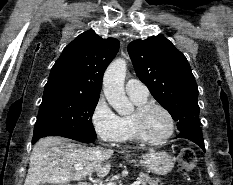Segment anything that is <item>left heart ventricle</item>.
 <instances>
[{"instance_id":"1","label":"left heart ventricle","mask_w":233,"mask_h":185,"mask_svg":"<svg viewBox=\"0 0 233 185\" xmlns=\"http://www.w3.org/2000/svg\"><path fill=\"white\" fill-rule=\"evenodd\" d=\"M142 127L148 138L160 139L168 133L170 124L167 116L161 110L152 108L143 116Z\"/></svg>"}]
</instances>
